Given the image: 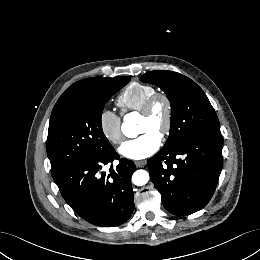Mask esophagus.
<instances>
[{
	"label": "esophagus",
	"instance_id": "esophagus-1",
	"mask_svg": "<svg viewBox=\"0 0 260 260\" xmlns=\"http://www.w3.org/2000/svg\"><path fill=\"white\" fill-rule=\"evenodd\" d=\"M146 164L145 161H135V165L137 168H141V167H144Z\"/></svg>",
	"mask_w": 260,
	"mask_h": 260
}]
</instances>
